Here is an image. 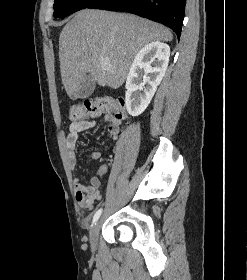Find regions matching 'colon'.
Segmentation results:
<instances>
[{"label":"colon","instance_id":"obj_1","mask_svg":"<svg viewBox=\"0 0 247 280\" xmlns=\"http://www.w3.org/2000/svg\"><path fill=\"white\" fill-rule=\"evenodd\" d=\"M112 115L118 119L124 118V102L111 98L86 99L80 104L73 105L69 110V118L82 121L88 117Z\"/></svg>","mask_w":247,"mask_h":280}]
</instances>
